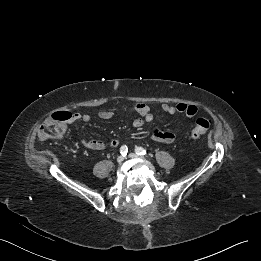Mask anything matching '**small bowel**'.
<instances>
[{
	"label": "small bowel",
	"mask_w": 261,
	"mask_h": 261,
	"mask_svg": "<svg viewBox=\"0 0 261 261\" xmlns=\"http://www.w3.org/2000/svg\"><path fill=\"white\" fill-rule=\"evenodd\" d=\"M162 111L169 115H174L176 113H181L186 115L187 117H194L198 113V109L194 105H188L184 103H180L177 105H169V104H163L162 105ZM129 112L136 113L138 115L137 118H134L132 120V125L134 127H141L145 123H149L153 120V113L152 109L147 104H135L130 109ZM115 112L112 110H105L98 113V117L102 120H108L115 116ZM91 120V116L89 114H81V113H73L72 114V122L75 121H82V122H89ZM67 135V127H64L62 130L60 138H64ZM150 137L152 140L162 143H168L171 144L175 141L176 136L171 131H162L159 129H153L150 133ZM81 143L84 147L88 149H94V150H102L105 148V143L101 141L100 139H82ZM120 144L119 139H111L108 142V146L112 148L118 147Z\"/></svg>",
	"instance_id": "1"
}]
</instances>
